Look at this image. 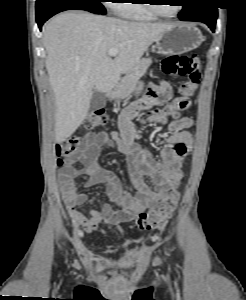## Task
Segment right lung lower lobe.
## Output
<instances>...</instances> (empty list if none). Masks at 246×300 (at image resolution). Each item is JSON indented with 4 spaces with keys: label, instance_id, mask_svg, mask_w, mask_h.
I'll return each instance as SVG.
<instances>
[{
    "label": "right lung lower lobe",
    "instance_id": "right-lung-lower-lobe-1",
    "mask_svg": "<svg viewBox=\"0 0 246 300\" xmlns=\"http://www.w3.org/2000/svg\"><path fill=\"white\" fill-rule=\"evenodd\" d=\"M71 9H79V10H86L90 11L86 8L82 3L74 2V1H59L48 4L43 9L36 10V21L40 30L42 29V25L45 21H47L53 15ZM94 13L93 11H90Z\"/></svg>",
    "mask_w": 246,
    "mask_h": 300
}]
</instances>
